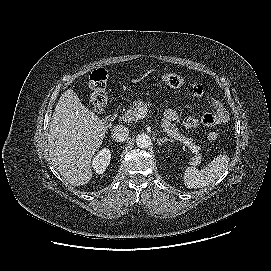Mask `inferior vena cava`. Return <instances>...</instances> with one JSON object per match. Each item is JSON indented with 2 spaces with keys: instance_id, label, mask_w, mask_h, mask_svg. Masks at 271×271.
I'll return each mask as SVG.
<instances>
[{
  "instance_id": "inferior-vena-cava-1",
  "label": "inferior vena cava",
  "mask_w": 271,
  "mask_h": 271,
  "mask_svg": "<svg viewBox=\"0 0 271 271\" xmlns=\"http://www.w3.org/2000/svg\"><path fill=\"white\" fill-rule=\"evenodd\" d=\"M111 134H112V138L116 142H122L128 138L129 130L124 125H116L113 127Z\"/></svg>"
}]
</instances>
